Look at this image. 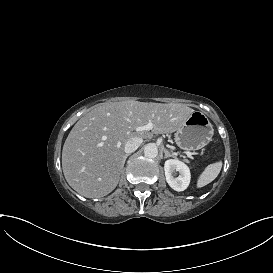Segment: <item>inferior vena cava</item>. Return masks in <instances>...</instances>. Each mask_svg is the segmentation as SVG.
Returning <instances> with one entry per match:
<instances>
[{
  "instance_id": "1",
  "label": "inferior vena cava",
  "mask_w": 273,
  "mask_h": 273,
  "mask_svg": "<svg viewBox=\"0 0 273 273\" xmlns=\"http://www.w3.org/2000/svg\"><path fill=\"white\" fill-rule=\"evenodd\" d=\"M143 139L141 137H132L130 138L124 146L125 153H132L134 152L139 145L142 143Z\"/></svg>"
}]
</instances>
